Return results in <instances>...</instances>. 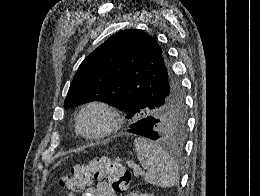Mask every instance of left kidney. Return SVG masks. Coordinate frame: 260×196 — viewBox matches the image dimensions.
<instances>
[{
  "mask_svg": "<svg viewBox=\"0 0 260 196\" xmlns=\"http://www.w3.org/2000/svg\"><path fill=\"white\" fill-rule=\"evenodd\" d=\"M128 196H153V194H137V192H130Z\"/></svg>",
  "mask_w": 260,
  "mask_h": 196,
  "instance_id": "obj_1",
  "label": "left kidney"
}]
</instances>
